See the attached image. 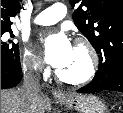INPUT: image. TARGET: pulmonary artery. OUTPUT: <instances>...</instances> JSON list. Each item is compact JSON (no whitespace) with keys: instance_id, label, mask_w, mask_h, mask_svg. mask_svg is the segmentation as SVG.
Returning a JSON list of instances; mask_svg holds the SVG:
<instances>
[{"instance_id":"e3ab8cb5","label":"pulmonary artery","mask_w":123,"mask_h":113,"mask_svg":"<svg viewBox=\"0 0 123 113\" xmlns=\"http://www.w3.org/2000/svg\"><path fill=\"white\" fill-rule=\"evenodd\" d=\"M66 6L62 3H55L49 8L40 12L33 20L37 25H51L65 17Z\"/></svg>"}]
</instances>
